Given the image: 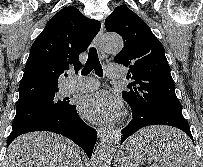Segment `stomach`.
<instances>
[{"instance_id":"1","label":"stomach","mask_w":203,"mask_h":167,"mask_svg":"<svg viewBox=\"0 0 203 167\" xmlns=\"http://www.w3.org/2000/svg\"><path fill=\"white\" fill-rule=\"evenodd\" d=\"M153 128H157V127H153ZM149 128L144 129L143 131L147 132ZM148 140H150L151 138L148 137L146 138ZM133 144L132 142H128L127 146H126V154L122 155L119 159L120 162V166L119 167H137V163L135 161V157H134V149H133Z\"/></svg>"}]
</instances>
